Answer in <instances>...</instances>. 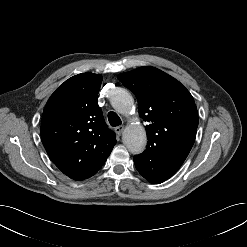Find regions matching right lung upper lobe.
I'll return each instance as SVG.
<instances>
[{"label":"right lung upper lobe","instance_id":"obj_1","mask_svg":"<svg viewBox=\"0 0 247 247\" xmlns=\"http://www.w3.org/2000/svg\"><path fill=\"white\" fill-rule=\"evenodd\" d=\"M102 77L78 74L49 98L42 116L41 138L53 163L76 179L102 166L116 144L97 96Z\"/></svg>","mask_w":247,"mask_h":247}]
</instances>
